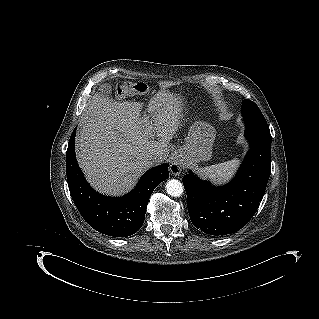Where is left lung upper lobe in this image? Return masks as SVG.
I'll return each mask as SVG.
<instances>
[{"instance_id":"5c2ea615","label":"left lung upper lobe","mask_w":319,"mask_h":319,"mask_svg":"<svg viewBox=\"0 0 319 319\" xmlns=\"http://www.w3.org/2000/svg\"><path fill=\"white\" fill-rule=\"evenodd\" d=\"M241 112L248 128L269 130L262 112L253 101L245 99Z\"/></svg>"}]
</instances>
